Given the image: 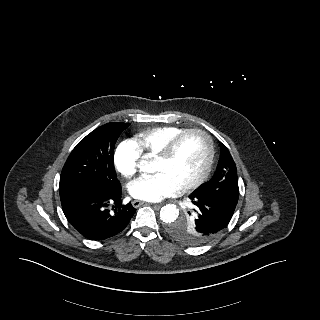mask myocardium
Segmentation results:
<instances>
[{
  "mask_svg": "<svg viewBox=\"0 0 320 320\" xmlns=\"http://www.w3.org/2000/svg\"><path fill=\"white\" fill-rule=\"evenodd\" d=\"M192 134H199L205 139L206 145H207V158H206L205 166H204L202 172L200 173V175L198 177H196L194 180L180 186L179 190L181 192H186V191L197 188L209 176L211 169H212V166H213L214 157H215V148H214V143H213L212 137L209 135V133H207L203 129H199V128L186 129L185 131H183L182 133H180L176 137H174L167 144V146L163 149V151L159 155L156 156L157 160L169 161L170 159L173 158V156L176 153V150H177L178 146L180 145V143L182 142V140Z\"/></svg>",
  "mask_w": 320,
  "mask_h": 320,
  "instance_id": "myocardium-1",
  "label": "myocardium"
}]
</instances>
